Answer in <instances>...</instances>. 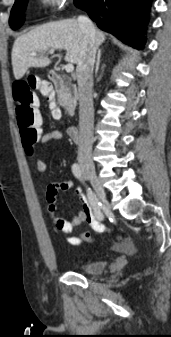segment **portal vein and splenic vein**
Wrapping results in <instances>:
<instances>
[{
	"label": "portal vein and splenic vein",
	"mask_w": 171,
	"mask_h": 337,
	"mask_svg": "<svg viewBox=\"0 0 171 337\" xmlns=\"http://www.w3.org/2000/svg\"><path fill=\"white\" fill-rule=\"evenodd\" d=\"M54 53V51L53 50H51L50 51V54H53ZM33 55H36V53H34ZM65 70H66V72L67 73H71V72H73V70H74V66H73V64H67L66 66H65Z\"/></svg>",
	"instance_id": "18ae733b"
}]
</instances>
